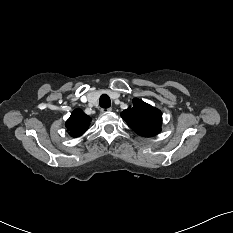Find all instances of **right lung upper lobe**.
Masks as SVG:
<instances>
[{
	"instance_id": "1",
	"label": "right lung upper lobe",
	"mask_w": 233,
	"mask_h": 233,
	"mask_svg": "<svg viewBox=\"0 0 233 233\" xmlns=\"http://www.w3.org/2000/svg\"><path fill=\"white\" fill-rule=\"evenodd\" d=\"M91 118L87 116L81 109H75L65 126L68 128L69 134L72 137L82 135L89 127Z\"/></svg>"
}]
</instances>
